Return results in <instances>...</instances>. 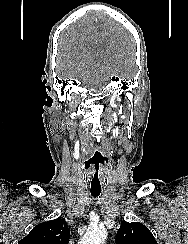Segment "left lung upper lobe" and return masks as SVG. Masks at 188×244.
I'll use <instances>...</instances> for the list:
<instances>
[{
    "instance_id": "left-lung-upper-lobe-1",
    "label": "left lung upper lobe",
    "mask_w": 188,
    "mask_h": 244,
    "mask_svg": "<svg viewBox=\"0 0 188 244\" xmlns=\"http://www.w3.org/2000/svg\"><path fill=\"white\" fill-rule=\"evenodd\" d=\"M116 244H157V242L145 225L122 221L117 231Z\"/></svg>"
}]
</instances>
